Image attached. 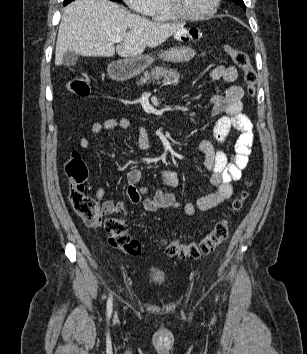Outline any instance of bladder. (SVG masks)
<instances>
[{
	"mask_svg": "<svg viewBox=\"0 0 307 354\" xmlns=\"http://www.w3.org/2000/svg\"><path fill=\"white\" fill-rule=\"evenodd\" d=\"M149 278L155 283H164L167 280V274L165 271L155 268L150 270Z\"/></svg>",
	"mask_w": 307,
	"mask_h": 354,
	"instance_id": "obj_1",
	"label": "bladder"
}]
</instances>
